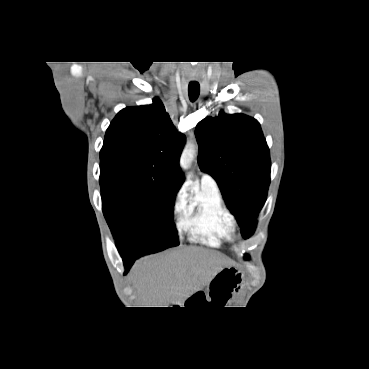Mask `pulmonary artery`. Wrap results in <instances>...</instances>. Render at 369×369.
I'll use <instances>...</instances> for the list:
<instances>
[{
    "mask_svg": "<svg viewBox=\"0 0 369 369\" xmlns=\"http://www.w3.org/2000/svg\"><path fill=\"white\" fill-rule=\"evenodd\" d=\"M201 183H202V185H205V186H208V187L218 188L215 179L211 175H209L208 173H202Z\"/></svg>",
    "mask_w": 369,
    "mask_h": 369,
    "instance_id": "pulmonary-artery-1",
    "label": "pulmonary artery"
}]
</instances>
